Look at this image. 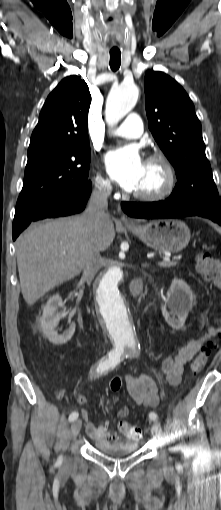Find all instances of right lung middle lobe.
<instances>
[{
	"label": "right lung middle lobe",
	"mask_w": 221,
	"mask_h": 510,
	"mask_svg": "<svg viewBox=\"0 0 221 510\" xmlns=\"http://www.w3.org/2000/svg\"><path fill=\"white\" fill-rule=\"evenodd\" d=\"M90 146L71 145L28 155L15 214L28 218L89 182Z\"/></svg>",
	"instance_id": "dd1d6c3e"
}]
</instances>
